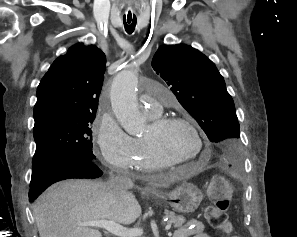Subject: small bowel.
I'll list each match as a JSON object with an SVG mask.
<instances>
[{
    "label": "small bowel",
    "instance_id": "small-bowel-1",
    "mask_svg": "<svg viewBox=\"0 0 297 237\" xmlns=\"http://www.w3.org/2000/svg\"><path fill=\"white\" fill-rule=\"evenodd\" d=\"M174 237H211L202 222L192 219L176 230Z\"/></svg>",
    "mask_w": 297,
    "mask_h": 237
}]
</instances>
